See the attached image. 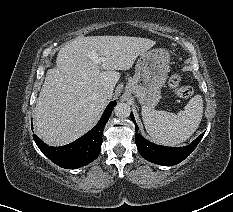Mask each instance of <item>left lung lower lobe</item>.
I'll return each instance as SVG.
<instances>
[{
  "mask_svg": "<svg viewBox=\"0 0 233 212\" xmlns=\"http://www.w3.org/2000/svg\"><path fill=\"white\" fill-rule=\"evenodd\" d=\"M131 119L135 123V119L132 113ZM135 131V141L137 149L141 156L152 163H156L163 166L176 165L183 161L185 158H187L196 148V146L198 145V143L204 135V133L201 134L198 138H196L191 144L187 146L175 148L159 146L147 141L142 135L138 133L137 126L135 128Z\"/></svg>",
  "mask_w": 233,
  "mask_h": 212,
  "instance_id": "obj_1",
  "label": "left lung lower lobe"
}]
</instances>
